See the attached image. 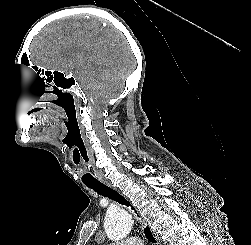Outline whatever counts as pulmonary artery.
Here are the masks:
<instances>
[{"instance_id": "pulmonary-artery-1", "label": "pulmonary artery", "mask_w": 251, "mask_h": 245, "mask_svg": "<svg viewBox=\"0 0 251 245\" xmlns=\"http://www.w3.org/2000/svg\"><path fill=\"white\" fill-rule=\"evenodd\" d=\"M110 245H143L142 240L138 237H131L122 243L110 244Z\"/></svg>"}]
</instances>
